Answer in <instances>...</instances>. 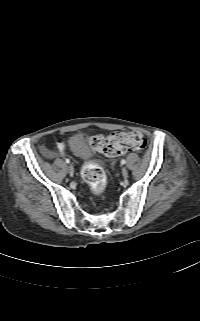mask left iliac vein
I'll return each instance as SVG.
<instances>
[{"label": "left iliac vein", "instance_id": "4c4485c4", "mask_svg": "<svg viewBox=\"0 0 200 321\" xmlns=\"http://www.w3.org/2000/svg\"><path fill=\"white\" fill-rule=\"evenodd\" d=\"M122 175L125 179L128 177V171L125 167L122 168Z\"/></svg>", "mask_w": 200, "mask_h": 321}]
</instances>
